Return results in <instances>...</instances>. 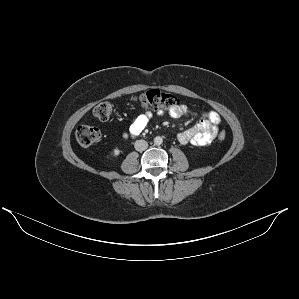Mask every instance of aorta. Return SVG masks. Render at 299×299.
<instances>
[{
  "instance_id": "1",
  "label": "aorta",
  "mask_w": 299,
  "mask_h": 299,
  "mask_svg": "<svg viewBox=\"0 0 299 299\" xmlns=\"http://www.w3.org/2000/svg\"><path fill=\"white\" fill-rule=\"evenodd\" d=\"M162 142H163L162 137H160V136H156V137L154 138V144H155V145H161Z\"/></svg>"
}]
</instances>
